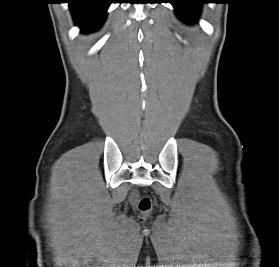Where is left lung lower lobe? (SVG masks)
I'll list each match as a JSON object with an SVG mask.
<instances>
[{
	"instance_id": "0a47b994",
	"label": "left lung lower lobe",
	"mask_w": 279,
	"mask_h": 267,
	"mask_svg": "<svg viewBox=\"0 0 279 267\" xmlns=\"http://www.w3.org/2000/svg\"><path fill=\"white\" fill-rule=\"evenodd\" d=\"M205 3L204 0H171L175 11L185 20L196 18L200 4Z\"/></svg>"
}]
</instances>
